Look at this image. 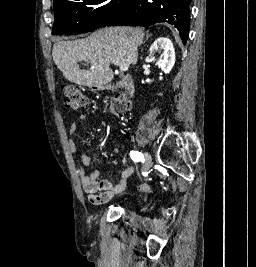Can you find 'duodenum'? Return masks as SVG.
Instances as JSON below:
<instances>
[{
  "label": "duodenum",
  "instance_id": "1",
  "mask_svg": "<svg viewBox=\"0 0 256 267\" xmlns=\"http://www.w3.org/2000/svg\"><path fill=\"white\" fill-rule=\"evenodd\" d=\"M96 84L98 85L99 83L97 82ZM117 84L129 94H133L135 84L131 76L122 78L117 82ZM97 88L98 87L96 85H89V94H96ZM101 89H108V84H101Z\"/></svg>",
  "mask_w": 256,
  "mask_h": 267
}]
</instances>
